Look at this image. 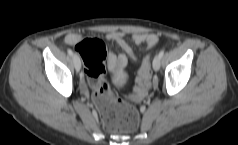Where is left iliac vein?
<instances>
[{
	"mask_svg": "<svg viewBox=\"0 0 238 145\" xmlns=\"http://www.w3.org/2000/svg\"><path fill=\"white\" fill-rule=\"evenodd\" d=\"M160 58H159V56L157 55L155 58H154V60H153V69L155 70V71H158L159 70V68H160Z\"/></svg>",
	"mask_w": 238,
	"mask_h": 145,
	"instance_id": "1",
	"label": "left iliac vein"
}]
</instances>
